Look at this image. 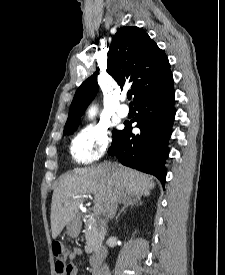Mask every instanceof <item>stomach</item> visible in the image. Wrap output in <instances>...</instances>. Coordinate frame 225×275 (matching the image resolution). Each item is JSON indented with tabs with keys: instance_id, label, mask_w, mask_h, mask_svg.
Listing matches in <instances>:
<instances>
[{
	"instance_id": "1",
	"label": "stomach",
	"mask_w": 225,
	"mask_h": 275,
	"mask_svg": "<svg viewBox=\"0 0 225 275\" xmlns=\"http://www.w3.org/2000/svg\"><path fill=\"white\" fill-rule=\"evenodd\" d=\"M80 231V224L75 220H71L68 224H67V234L72 237L75 238L78 236Z\"/></svg>"
}]
</instances>
